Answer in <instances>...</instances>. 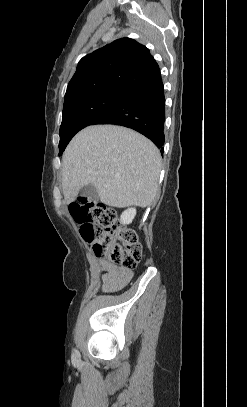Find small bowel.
<instances>
[{"mask_svg":"<svg viewBox=\"0 0 247 407\" xmlns=\"http://www.w3.org/2000/svg\"><path fill=\"white\" fill-rule=\"evenodd\" d=\"M98 265L99 268L105 272L100 275V278L102 280V290L106 292L123 288L134 276L132 269L118 267L105 260H100Z\"/></svg>","mask_w":247,"mask_h":407,"instance_id":"small-bowel-1","label":"small bowel"}]
</instances>
